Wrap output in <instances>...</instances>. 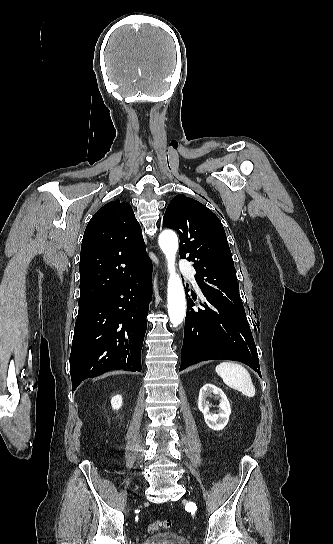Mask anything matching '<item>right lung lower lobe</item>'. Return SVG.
I'll return each mask as SVG.
<instances>
[{"label":"right lung lower lobe","mask_w":333,"mask_h":544,"mask_svg":"<svg viewBox=\"0 0 333 544\" xmlns=\"http://www.w3.org/2000/svg\"><path fill=\"white\" fill-rule=\"evenodd\" d=\"M151 277L152 263L96 305L79 311L70 354L72 391L109 370L141 371Z\"/></svg>","instance_id":"obj_1"}]
</instances>
